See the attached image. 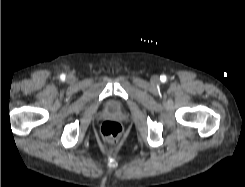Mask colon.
<instances>
[{"label":"colon","instance_id":"5ec220e1","mask_svg":"<svg viewBox=\"0 0 245 187\" xmlns=\"http://www.w3.org/2000/svg\"><path fill=\"white\" fill-rule=\"evenodd\" d=\"M122 133V126L119 122L108 120L101 126V135L106 141H115Z\"/></svg>","mask_w":245,"mask_h":187}]
</instances>
